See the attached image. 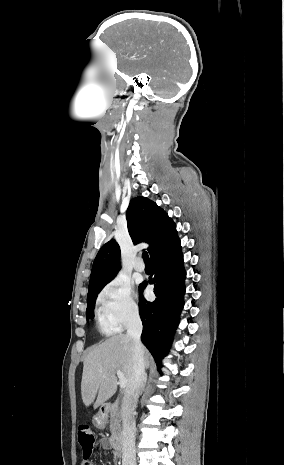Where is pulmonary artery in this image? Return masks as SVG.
I'll return each mask as SVG.
<instances>
[{"mask_svg": "<svg viewBox=\"0 0 284 465\" xmlns=\"http://www.w3.org/2000/svg\"><path fill=\"white\" fill-rule=\"evenodd\" d=\"M133 267L137 272H143L145 269V265L140 259L134 262Z\"/></svg>", "mask_w": 284, "mask_h": 465, "instance_id": "e3ab8cb5", "label": "pulmonary artery"}]
</instances>
